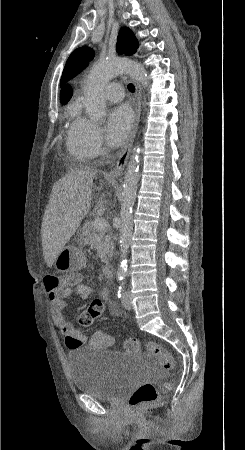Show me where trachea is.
Here are the masks:
<instances>
[{
  "mask_svg": "<svg viewBox=\"0 0 245 450\" xmlns=\"http://www.w3.org/2000/svg\"><path fill=\"white\" fill-rule=\"evenodd\" d=\"M128 89H129L131 92H134V91H135V87H134V85L131 84V83L128 85Z\"/></svg>",
  "mask_w": 245,
  "mask_h": 450,
  "instance_id": "trachea-1",
  "label": "trachea"
}]
</instances>
